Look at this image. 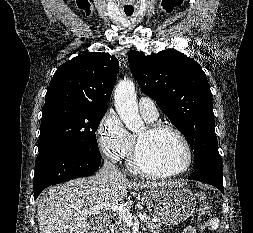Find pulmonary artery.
<instances>
[{"instance_id":"e3ab8cb5","label":"pulmonary artery","mask_w":253,"mask_h":233,"mask_svg":"<svg viewBox=\"0 0 253 233\" xmlns=\"http://www.w3.org/2000/svg\"><path fill=\"white\" fill-rule=\"evenodd\" d=\"M138 107L143 117L148 119H156L158 117V109L151 98L146 96L140 97Z\"/></svg>"}]
</instances>
